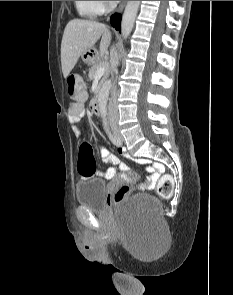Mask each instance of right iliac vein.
Masks as SVG:
<instances>
[{
    "mask_svg": "<svg viewBox=\"0 0 233 295\" xmlns=\"http://www.w3.org/2000/svg\"><path fill=\"white\" fill-rule=\"evenodd\" d=\"M114 133L116 134L118 132V129L117 128H114Z\"/></svg>",
    "mask_w": 233,
    "mask_h": 295,
    "instance_id": "obj_1",
    "label": "right iliac vein"
}]
</instances>
